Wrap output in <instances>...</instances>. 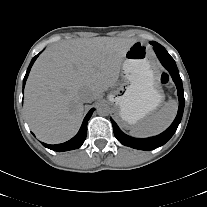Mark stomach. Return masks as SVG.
<instances>
[{"mask_svg": "<svg viewBox=\"0 0 207 207\" xmlns=\"http://www.w3.org/2000/svg\"><path fill=\"white\" fill-rule=\"evenodd\" d=\"M119 124L129 129L154 112L163 102L156 66L149 48L136 41L126 52L121 80L109 94Z\"/></svg>", "mask_w": 207, "mask_h": 207, "instance_id": "1", "label": "stomach"}]
</instances>
